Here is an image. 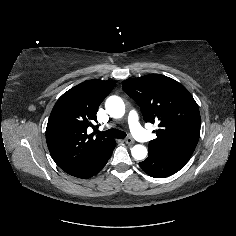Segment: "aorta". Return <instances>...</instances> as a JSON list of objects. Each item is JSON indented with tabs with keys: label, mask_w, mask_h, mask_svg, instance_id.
Wrapping results in <instances>:
<instances>
[{
	"label": "aorta",
	"mask_w": 236,
	"mask_h": 236,
	"mask_svg": "<svg viewBox=\"0 0 236 236\" xmlns=\"http://www.w3.org/2000/svg\"><path fill=\"white\" fill-rule=\"evenodd\" d=\"M107 113L113 118H121L125 113V105L123 100L118 96H110L105 102ZM147 148L143 145H135L131 149V154L136 160H143L147 156Z\"/></svg>",
	"instance_id": "762f6f07"
}]
</instances>
